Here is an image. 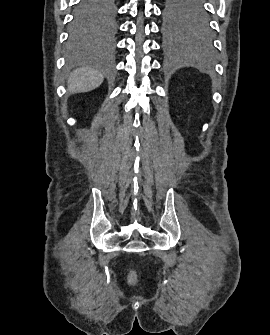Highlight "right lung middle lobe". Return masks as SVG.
Listing matches in <instances>:
<instances>
[{
	"label": "right lung middle lobe",
	"mask_w": 270,
	"mask_h": 335,
	"mask_svg": "<svg viewBox=\"0 0 270 335\" xmlns=\"http://www.w3.org/2000/svg\"><path fill=\"white\" fill-rule=\"evenodd\" d=\"M116 0H80L73 11L70 40L83 42L98 26L112 25Z\"/></svg>",
	"instance_id": "right-lung-middle-lobe-1"
}]
</instances>
